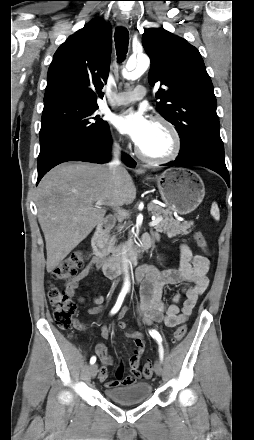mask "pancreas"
<instances>
[{
	"label": "pancreas",
	"mask_w": 254,
	"mask_h": 440,
	"mask_svg": "<svg viewBox=\"0 0 254 440\" xmlns=\"http://www.w3.org/2000/svg\"><path fill=\"white\" fill-rule=\"evenodd\" d=\"M148 210L155 217H160V216L163 217V220L154 228L156 229V231L164 233L168 237H176L178 235H188L191 232V227H193L194 225L193 221H189V222L185 221L181 223L175 220L172 217V213L169 210L163 209L155 204H149ZM123 227L124 225H121L118 231L120 232ZM106 241H107L108 249L113 254V256L120 253L122 247L121 246L114 247V244L116 242L115 235L111 237L110 236L107 237Z\"/></svg>",
	"instance_id": "cf45deb5"
}]
</instances>
